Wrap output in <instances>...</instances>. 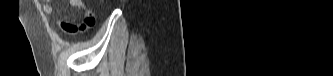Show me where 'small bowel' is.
Masks as SVG:
<instances>
[{
	"label": "small bowel",
	"instance_id": "obj_1",
	"mask_svg": "<svg viewBox=\"0 0 333 76\" xmlns=\"http://www.w3.org/2000/svg\"><path fill=\"white\" fill-rule=\"evenodd\" d=\"M69 3L71 6L81 9L84 12L85 18L83 23L79 27H75V25H73L71 22L68 21H56V23L60 26V28L63 31L67 33L82 32L94 25L95 17L82 0H70ZM43 9L47 16L49 17L54 16L55 8L53 5V1L46 0Z\"/></svg>",
	"mask_w": 333,
	"mask_h": 76
}]
</instances>
